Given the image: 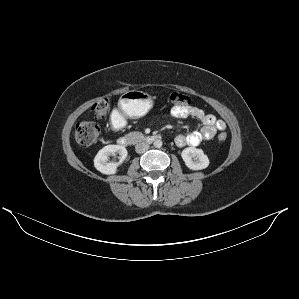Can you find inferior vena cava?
Listing matches in <instances>:
<instances>
[{
    "label": "inferior vena cava",
    "instance_id": "obj_1",
    "mask_svg": "<svg viewBox=\"0 0 299 299\" xmlns=\"http://www.w3.org/2000/svg\"><path fill=\"white\" fill-rule=\"evenodd\" d=\"M149 149V144L148 143H145V142H142V143H138L136 146H135V150L137 153H144L146 152L147 150Z\"/></svg>",
    "mask_w": 299,
    "mask_h": 299
}]
</instances>
